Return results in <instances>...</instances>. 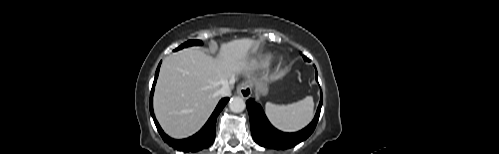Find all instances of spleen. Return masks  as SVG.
<instances>
[{"instance_id": "1", "label": "spleen", "mask_w": 499, "mask_h": 154, "mask_svg": "<svg viewBox=\"0 0 499 154\" xmlns=\"http://www.w3.org/2000/svg\"><path fill=\"white\" fill-rule=\"evenodd\" d=\"M314 102L311 96L288 104L267 102L265 112L271 123L280 130L294 132L305 127L313 117Z\"/></svg>"}]
</instances>
